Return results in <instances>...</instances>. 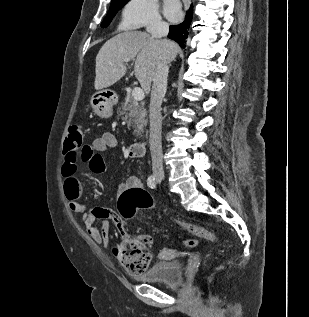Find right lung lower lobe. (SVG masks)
<instances>
[{
    "label": "right lung lower lobe",
    "instance_id": "98d812e1",
    "mask_svg": "<svg viewBox=\"0 0 309 317\" xmlns=\"http://www.w3.org/2000/svg\"><path fill=\"white\" fill-rule=\"evenodd\" d=\"M192 21V5L186 14L185 21L176 26H170L168 37L176 41L182 48H185L188 37L189 26Z\"/></svg>",
    "mask_w": 309,
    "mask_h": 317
}]
</instances>
